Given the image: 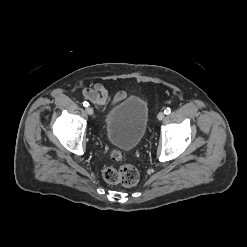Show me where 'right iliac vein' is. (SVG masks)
<instances>
[{"instance_id": "1", "label": "right iliac vein", "mask_w": 247, "mask_h": 247, "mask_svg": "<svg viewBox=\"0 0 247 247\" xmlns=\"http://www.w3.org/2000/svg\"><path fill=\"white\" fill-rule=\"evenodd\" d=\"M86 112H87L89 115H92L94 111H93V108H92V107H87Z\"/></svg>"}]
</instances>
